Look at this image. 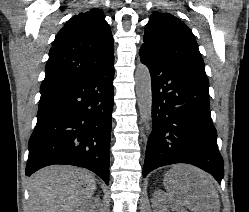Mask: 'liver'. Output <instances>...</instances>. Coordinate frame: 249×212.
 I'll use <instances>...</instances> for the list:
<instances>
[{"instance_id": "liver-1", "label": "liver", "mask_w": 249, "mask_h": 212, "mask_svg": "<svg viewBox=\"0 0 249 212\" xmlns=\"http://www.w3.org/2000/svg\"><path fill=\"white\" fill-rule=\"evenodd\" d=\"M166 184H173L172 202L175 208L187 206L192 212H219L218 192L203 170L177 164ZM96 182L83 168L48 166L29 178V202L32 212H73L74 208L90 202Z\"/></svg>"}]
</instances>
